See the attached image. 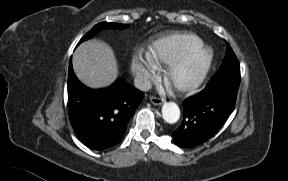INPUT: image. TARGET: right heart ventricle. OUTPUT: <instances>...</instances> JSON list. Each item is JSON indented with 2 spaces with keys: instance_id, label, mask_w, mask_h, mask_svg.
<instances>
[{
  "instance_id": "right-heart-ventricle-1",
  "label": "right heart ventricle",
  "mask_w": 288,
  "mask_h": 181,
  "mask_svg": "<svg viewBox=\"0 0 288 181\" xmlns=\"http://www.w3.org/2000/svg\"><path fill=\"white\" fill-rule=\"evenodd\" d=\"M203 45V40L193 33H174L161 37L149 46L147 55L160 65H169L186 52Z\"/></svg>"
}]
</instances>
